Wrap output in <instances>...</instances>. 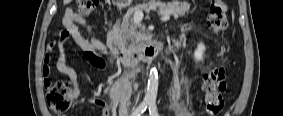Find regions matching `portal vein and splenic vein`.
I'll return each instance as SVG.
<instances>
[{"instance_id":"1","label":"portal vein and splenic vein","mask_w":283,"mask_h":116,"mask_svg":"<svg viewBox=\"0 0 283 116\" xmlns=\"http://www.w3.org/2000/svg\"><path fill=\"white\" fill-rule=\"evenodd\" d=\"M143 17H144V14H143V12H142L141 10L137 9V10L134 12V19H135V20L140 21V20L143 19ZM160 19H161V21H163V22L168 21V20L170 19V13L168 12V13L163 14Z\"/></svg>"}]
</instances>
